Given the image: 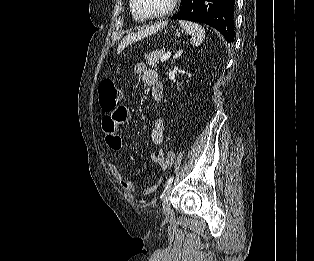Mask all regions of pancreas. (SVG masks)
<instances>
[{"instance_id":"1","label":"pancreas","mask_w":314,"mask_h":261,"mask_svg":"<svg viewBox=\"0 0 314 261\" xmlns=\"http://www.w3.org/2000/svg\"><path fill=\"white\" fill-rule=\"evenodd\" d=\"M165 54V50L152 51L145 55L146 64L150 67H156L159 64V59Z\"/></svg>"}]
</instances>
